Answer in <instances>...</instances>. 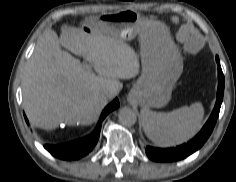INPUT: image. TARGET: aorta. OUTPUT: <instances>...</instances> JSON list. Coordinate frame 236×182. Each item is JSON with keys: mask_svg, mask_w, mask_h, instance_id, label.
I'll list each match as a JSON object with an SVG mask.
<instances>
[{"mask_svg": "<svg viewBox=\"0 0 236 182\" xmlns=\"http://www.w3.org/2000/svg\"><path fill=\"white\" fill-rule=\"evenodd\" d=\"M118 119L125 126H132L136 123L137 115L135 111L129 107H123L119 110Z\"/></svg>", "mask_w": 236, "mask_h": 182, "instance_id": "1", "label": "aorta"}]
</instances>
